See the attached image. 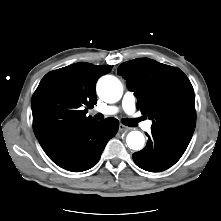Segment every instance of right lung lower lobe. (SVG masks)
I'll use <instances>...</instances> for the list:
<instances>
[{
  "label": "right lung lower lobe",
  "mask_w": 221,
  "mask_h": 221,
  "mask_svg": "<svg viewBox=\"0 0 221 221\" xmlns=\"http://www.w3.org/2000/svg\"><path fill=\"white\" fill-rule=\"evenodd\" d=\"M118 127L115 118L92 121L69 130L44 151L58 166L82 172L99 161L105 145L115 136Z\"/></svg>",
  "instance_id": "obj_1"
}]
</instances>
